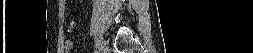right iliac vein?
<instances>
[{"label":"right iliac vein","instance_id":"63e3f726","mask_svg":"<svg viewBox=\"0 0 253 53\" xmlns=\"http://www.w3.org/2000/svg\"><path fill=\"white\" fill-rule=\"evenodd\" d=\"M98 45H99V53H101L103 51V49L106 47V43H105V41L103 40L102 37L99 38Z\"/></svg>","mask_w":253,"mask_h":53}]
</instances>
